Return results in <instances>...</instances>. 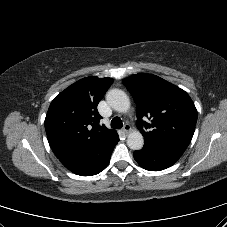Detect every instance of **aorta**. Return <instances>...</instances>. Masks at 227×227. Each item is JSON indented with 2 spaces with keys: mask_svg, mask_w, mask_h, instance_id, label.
<instances>
[{
  "mask_svg": "<svg viewBox=\"0 0 227 227\" xmlns=\"http://www.w3.org/2000/svg\"><path fill=\"white\" fill-rule=\"evenodd\" d=\"M107 103L117 112L126 113L130 109V100L127 94L120 89H112L107 92ZM127 145L132 150H140L144 145L142 134L135 130L129 133Z\"/></svg>",
  "mask_w": 227,
  "mask_h": 227,
  "instance_id": "obj_1",
  "label": "aorta"
}]
</instances>
